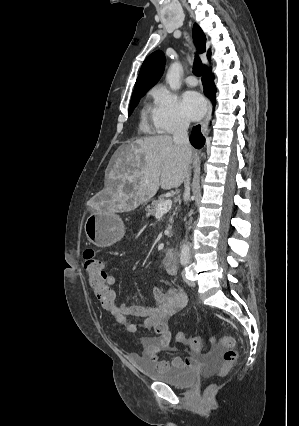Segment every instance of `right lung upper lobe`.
Masks as SVG:
<instances>
[{
	"label": "right lung upper lobe",
	"mask_w": 299,
	"mask_h": 426,
	"mask_svg": "<svg viewBox=\"0 0 299 426\" xmlns=\"http://www.w3.org/2000/svg\"><path fill=\"white\" fill-rule=\"evenodd\" d=\"M193 39L198 51L200 53L205 52L206 37L199 25H197L196 23L193 26ZM210 55L211 51L209 49V59ZM165 62L166 59L162 51L157 50L150 54L142 64L139 76L135 83V89L133 93L139 91H148L152 86H154L163 74ZM204 68H206V66Z\"/></svg>",
	"instance_id": "cb5924a9"
}]
</instances>
